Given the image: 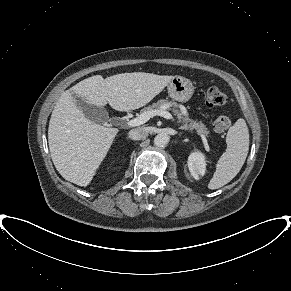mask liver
Instances as JSON below:
<instances>
[{"mask_svg": "<svg viewBox=\"0 0 291 291\" xmlns=\"http://www.w3.org/2000/svg\"><path fill=\"white\" fill-rule=\"evenodd\" d=\"M172 78L144 72L106 79L95 75L63 92L48 128L51 158L61 176L79 186L89 185L119 131L86 118L75 95L97 107L108 103L117 111H130L148 104Z\"/></svg>", "mask_w": 291, "mask_h": 291, "instance_id": "1", "label": "liver"}]
</instances>
